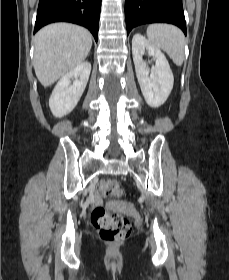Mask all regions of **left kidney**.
I'll return each instance as SVG.
<instances>
[{"instance_id": "1", "label": "left kidney", "mask_w": 229, "mask_h": 280, "mask_svg": "<svg viewBox=\"0 0 229 280\" xmlns=\"http://www.w3.org/2000/svg\"><path fill=\"white\" fill-rule=\"evenodd\" d=\"M145 50L155 60V66L151 69L143 60ZM132 54L136 76L147 104L154 108L160 107L170 95L174 82L165 55L139 33L133 36Z\"/></svg>"}]
</instances>
